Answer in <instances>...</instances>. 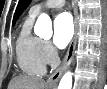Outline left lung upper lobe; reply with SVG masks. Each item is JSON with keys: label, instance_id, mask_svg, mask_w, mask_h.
<instances>
[{"label": "left lung upper lobe", "instance_id": "1", "mask_svg": "<svg viewBox=\"0 0 107 89\" xmlns=\"http://www.w3.org/2000/svg\"><path fill=\"white\" fill-rule=\"evenodd\" d=\"M30 2L31 0H19L18 7L16 9V12L13 18V24H15L16 20L19 18L22 12L27 8Z\"/></svg>", "mask_w": 107, "mask_h": 89}]
</instances>
